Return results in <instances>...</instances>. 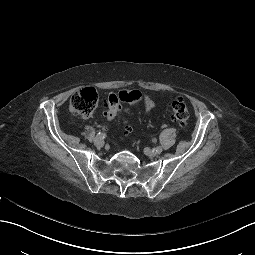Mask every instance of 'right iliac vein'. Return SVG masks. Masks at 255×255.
<instances>
[{
	"label": "right iliac vein",
	"mask_w": 255,
	"mask_h": 255,
	"mask_svg": "<svg viewBox=\"0 0 255 255\" xmlns=\"http://www.w3.org/2000/svg\"><path fill=\"white\" fill-rule=\"evenodd\" d=\"M94 144H95L97 147H100V146L102 145L101 139H99L98 137H96L95 140H94Z\"/></svg>",
	"instance_id": "1"
}]
</instances>
